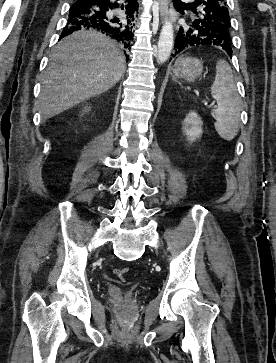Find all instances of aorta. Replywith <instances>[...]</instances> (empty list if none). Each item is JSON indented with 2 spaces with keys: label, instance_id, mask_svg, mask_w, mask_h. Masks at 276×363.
<instances>
[{
  "label": "aorta",
  "instance_id": "1",
  "mask_svg": "<svg viewBox=\"0 0 276 363\" xmlns=\"http://www.w3.org/2000/svg\"><path fill=\"white\" fill-rule=\"evenodd\" d=\"M174 43V30L170 21H165L162 26L158 41V61L164 63L170 57Z\"/></svg>",
  "mask_w": 276,
  "mask_h": 363
}]
</instances>
